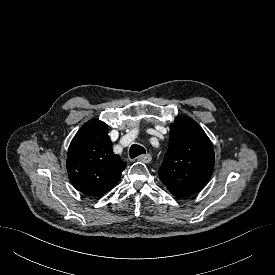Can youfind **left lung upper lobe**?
<instances>
[{"mask_svg":"<svg viewBox=\"0 0 275 275\" xmlns=\"http://www.w3.org/2000/svg\"><path fill=\"white\" fill-rule=\"evenodd\" d=\"M214 162L213 146L203 129L193 119L177 116L158 171L160 180L176 197L193 195L209 181Z\"/></svg>","mask_w":275,"mask_h":275,"instance_id":"1","label":"left lung upper lobe"}]
</instances>
